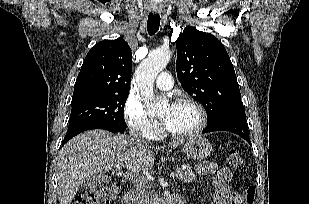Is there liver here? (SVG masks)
<instances>
[{"label": "liver", "mask_w": 309, "mask_h": 204, "mask_svg": "<svg viewBox=\"0 0 309 204\" xmlns=\"http://www.w3.org/2000/svg\"><path fill=\"white\" fill-rule=\"evenodd\" d=\"M182 141L175 142V148ZM151 147L132 137L114 135L104 130H90L70 140L57 157L56 175L59 204H70L81 182L96 173H106L117 167H125L132 173L147 172L154 165Z\"/></svg>", "instance_id": "6515ba94"}]
</instances>
